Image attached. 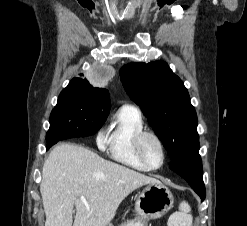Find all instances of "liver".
<instances>
[{"instance_id":"liver-1","label":"liver","mask_w":247,"mask_h":226,"mask_svg":"<svg viewBox=\"0 0 247 226\" xmlns=\"http://www.w3.org/2000/svg\"><path fill=\"white\" fill-rule=\"evenodd\" d=\"M157 181L82 146L57 145L42 169L45 226H107L125 197Z\"/></svg>"}]
</instances>
